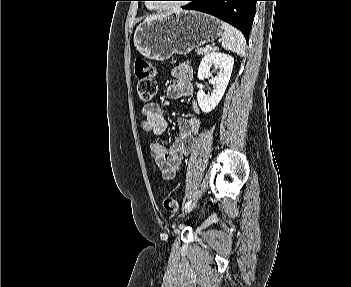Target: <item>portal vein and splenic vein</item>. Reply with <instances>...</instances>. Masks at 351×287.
<instances>
[{
    "label": "portal vein and splenic vein",
    "instance_id": "portal-vein-and-splenic-vein-1",
    "mask_svg": "<svg viewBox=\"0 0 351 287\" xmlns=\"http://www.w3.org/2000/svg\"><path fill=\"white\" fill-rule=\"evenodd\" d=\"M204 51L207 52L208 51V47L204 48Z\"/></svg>",
    "mask_w": 351,
    "mask_h": 287
}]
</instances>
